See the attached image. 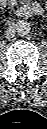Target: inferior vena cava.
<instances>
[{"instance_id":"602c4592","label":"inferior vena cava","mask_w":47,"mask_h":129,"mask_svg":"<svg viewBox=\"0 0 47 129\" xmlns=\"http://www.w3.org/2000/svg\"><path fill=\"white\" fill-rule=\"evenodd\" d=\"M5 35L7 38H12L15 35V29L14 28H9L6 32Z\"/></svg>"}]
</instances>
